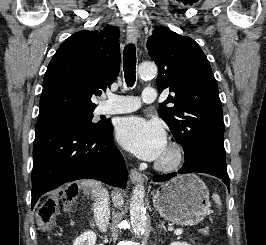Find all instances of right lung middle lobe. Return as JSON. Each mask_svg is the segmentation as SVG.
Returning a JSON list of instances; mask_svg holds the SVG:
<instances>
[{"instance_id": "dd1d6c3e", "label": "right lung middle lobe", "mask_w": 266, "mask_h": 245, "mask_svg": "<svg viewBox=\"0 0 266 245\" xmlns=\"http://www.w3.org/2000/svg\"><path fill=\"white\" fill-rule=\"evenodd\" d=\"M93 110L94 109H85V110H79V111H74V112H70L67 114H64L56 119H52V120H43V121H38L36 123V130H40L56 121L59 120H78L81 122H84L90 126H98V123H93L91 120L93 118Z\"/></svg>"}]
</instances>
